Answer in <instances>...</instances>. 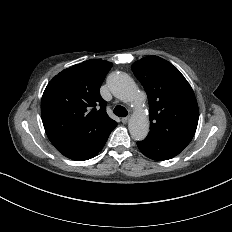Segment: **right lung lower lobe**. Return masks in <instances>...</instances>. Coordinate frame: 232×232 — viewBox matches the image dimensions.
Listing matches in <instances>:
<instances>
[{
    "label": "right lung lower lobe",
    "mask_w": 232,
    "mask_h": 232,
    "mask_svg": "<svg viewBox=\"0 0 232 232\" xmlns=\"http://www.w3.org/2000/svg\"><path fill=\"white\" fill-rule=\"evenodd\" d=\"M109 134L94 144L82 145L77 147H58L57 150L61 152L64 156L72 160H77V161L88 160L99 153V151L105 145L109 137Z\"/></svg>",
    "instance_id": "98d812e1"
}]
</instances>
